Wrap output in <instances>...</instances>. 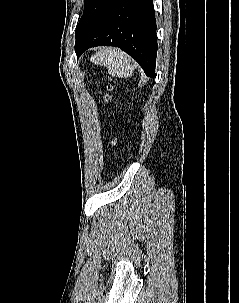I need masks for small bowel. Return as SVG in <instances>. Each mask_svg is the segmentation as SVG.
<instances>
[{
	"label": "small bowel",
	"instance_id": "c3829d8e",
	"mask_svg": "<svg viewBox=\"0 0 239 303\" xmlns=\"http://www.w3.org/2000/svg\"><path fill=\"white\" fill-rule=\"evenodd\" d=\"M116 145H117L116 141L112 142V146H116Z\"/></svg>",
	"mask_w": 239,
	"mask_h": 303
}]
</instances>
